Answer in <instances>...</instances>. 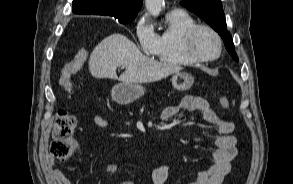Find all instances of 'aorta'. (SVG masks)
Wrapping results in <instances>:
<instances>
[{
    "label": "aorta",
    "instance_id": "aorta-1",
    "mask_svg": "<svg viewBox=\"0 0 293 184\" xmlns=\"http://www.w3.org/2000/svg\"><path fill=\"white\" fill-rule=\"evenodd\" d=\"M164 5V0H145L147 11L154 17H157Z\"/></svg>",
    "mask_w": 293,
    "mask_h": 184
}]
</instances>
